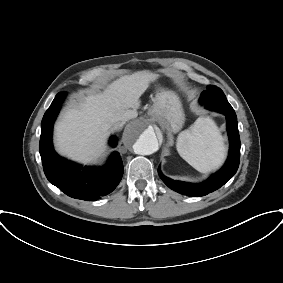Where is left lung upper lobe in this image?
Instances as JSON below:
<instances>
[{
	"label": "left lung upper lobe",
	"instance_id": "left-lung-upper-lobe-1",
	"mask_svg": "<svg viewBox=\"0 0 283 283\" xmlns=\"http://www.w3.org/2000/svg\"><path fill=\"white\" fill-rule=\"evenodd\" d=\"M204 93L212 100H226V96L223 91L213 85H208L207 90Z\"/></svg>",
	"mask_w": 283,
	"mask_h": 283
}]
</instances>
